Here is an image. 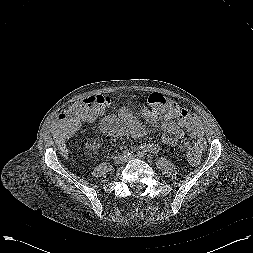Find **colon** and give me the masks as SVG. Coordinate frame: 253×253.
Here are the masks:
<instances>
[{"label": "colon", "mask_w": 253, "mask_h": 253, "mask_svg": "<svg viewBox=\"0 0 253 253\" xmlns=\"http://www.w3.org/2000/svg\"><path fill=\"white\" fill-rule=\"evenodd\" d=\"M115 102L114 98L107 95H93L77 101L59 115V128L66 136H71L77 132L82 122L94 120ZM148 103L151 107L150 118H176L196 137L186 143L184 148L189 161L197 163L205 147V142L201 138V123L197 115L180 108L176 101L159 93L149 95Z\"/></svg>", "instance_id": "colon-1"}]
</instances>
